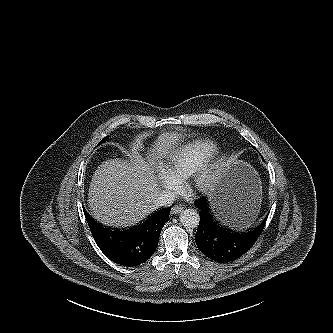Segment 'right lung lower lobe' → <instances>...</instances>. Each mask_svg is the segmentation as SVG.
<instances>
[{
	"instance_id": "1",
	"label": "right lung lower lobe",
	"mask_w": 333,
	"mask_h": 333,
	"mask_svg": "<svg viewBox=\"0 0 333 333\" xmlns=\"http://www.w3.org/2000/svg\"><path fill=\"white\" fill-rule=\"evenodd\" d=\"M96 244L112 261L132 267L146 262L155 252L161 229L169 220L170 208H162L138 226L128 229H110L96 222L83 209Z\"/></svg>"
}]
</instances>
